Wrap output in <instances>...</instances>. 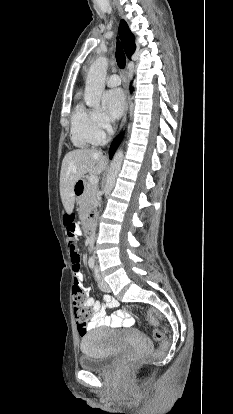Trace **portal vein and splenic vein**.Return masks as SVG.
Returning a JSON list of instances; mask_svg holds the SVG:
<instances>
[{
	"label": "portal vein and splenic vein",
	"mask_w": 233,
	"mask_h": 414,
	"mask_svg": "<svg viewBox=\"0 0 233 414\" xmlns=\"http://www.w3.org/2000/svg\"><path fill=\"white\" fill-rule=\"evenodd\" d=\"M89 183L92 185H97L98 184V177L95 175H91L88 179Z\"/></svg>",
	"instance_id": "1"
}]
</instances>
